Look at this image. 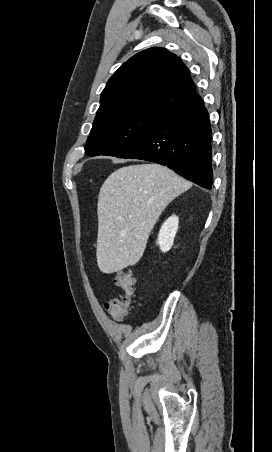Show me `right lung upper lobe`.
<instances>
[{
	"label": "right lung upper lobe",
	"instance_id": "cb5924a9",
	"mask_svg": "<svg viewBox=\"0 0 272 452\" xmlns=\"http://www.w3.org/2000/svg\"><path fill=\"white\" fill-rule=\"evenodd\" d=\"M195 94L186 65L168 50L153 47L131 57L108 80L95 119L130 110L169 113Z\"/></svg>",
	"mask_w": 272,
	"mask_h": 452
}]
</instances>
